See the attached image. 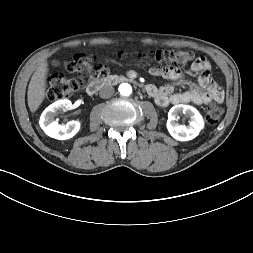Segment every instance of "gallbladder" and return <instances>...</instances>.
I'll use <instances>...</instances> for the list:
<instances>
[{
    "label": "gallbladder",
    "mask_w": 253,
    "mask_h": 253,
    "mask_svg": "<svg viewBox=\"0 0 253 253\" xmlns=\"http://www.w3.org/2000/svg\"><path fill=\"white\" fill-rule=\"evenodd\" d=\"M52 64H53V66L58 67V66H60V61L54 60V61L52 62Z\"/></svg>",
    "instance_id": "obj_1"
}]
</instances>
